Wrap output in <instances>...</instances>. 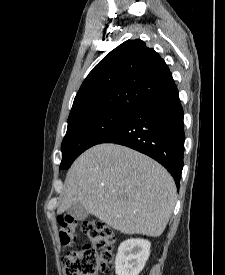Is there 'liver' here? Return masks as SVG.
<instances>
[{
  "label": "liver",
  "instance_id": "liver-1",
  "mask_svg": "<svg viewBox=\"0 0 225 275\" xmlns=\"http://www.w3.org/2000/svg\"><path fill=\"white\" fill-rule=\"evenodd\" d=\"M75 202L122 233L158 237L172 215L176 186L148 156L117 144H98L68 170L57 213Z\"/></svg>",
  "mask_w": 225,
  "mask_h": 275
}]
</instances>
